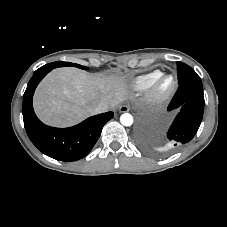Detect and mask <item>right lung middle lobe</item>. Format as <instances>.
Instances as JSON below:
<instances>
[{"label":"right lung middle lobe","mask_w":227,"mask_h":227,"mask_svg":"<svg viewBox=\"0 0 227 227\" xmlns=\"http://www.w3.org/2000/svg\"><path fill=\"white\" fill-rule=\"evenodd\" d=\"M65 66H75L77 68L84 69V70L88 69L85 66L73 64V63H70V62H63V61H57V62L49 63V64L44 65L43 67H50V68L54 69V68H57V67H65Z\"/></svg>","instance_id":"dd1d6c3e"}]
</instances>
